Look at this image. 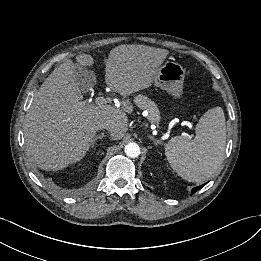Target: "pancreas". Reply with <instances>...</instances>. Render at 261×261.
I'll list each match as a JSON object with an SVG mask.
<instances>
[{
	"mask_svg": "<svg viewBox=\"0 0 261 261\" xmlns=\"http://www.w3.org/2000/svg\"><path fill=\"white\" fill-rule=\"evenodd\" d=\"M134 103L138 108L149 112L150 115L148 119L151 122L158 123L160 121V111L157 105L150 98L142 94H138L134 97Z\"/></svg>",
	"mask_w": 261,
	"mask_h": 261,
	"instance_id": "cf45deb5",
	"label": "pancreas"
}]
</instances>
